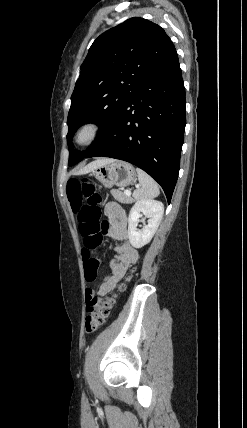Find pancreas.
Listing matches in <instances>:
<instances>
[{"mask_svg":"<svg viewBox=\"0 0 247 428\" xmlns=\"http://www.w3.org/2000/svg\"><path fill=\"white\" fill-rule=\"evenodd\" d=\"M111 194L114 197V199H116L120 203L131 204L134 202V199L131 196L126 195L125 193H123L118 189H112Z\"/></svg>","mask_w":247,"mask_h":428,"instance_id":"1","label":"pancreas"}]
</instances>
